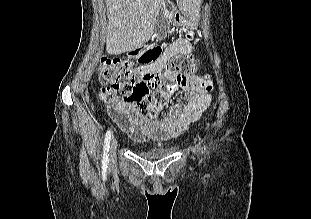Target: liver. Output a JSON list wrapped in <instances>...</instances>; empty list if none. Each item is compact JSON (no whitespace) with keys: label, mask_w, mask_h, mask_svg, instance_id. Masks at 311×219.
<instances>
[{"label":"liver","mask_w":311,"mask_h":219,"mask_svg":"<svg viewBox=\"0 0 311 219\" xmlns=\"http://www.w3.org/2000/svg\"><path fill=\"white\" fill-rule=\"evenodd\" d=\"M164 0H106L109 24L106 50L118 55L144 45L152 37ZM190 20L199 17L200 0H177Z\"/></svg>","instance_id":"liver-1"}]
</instances>
